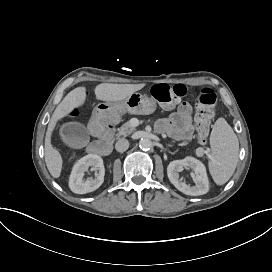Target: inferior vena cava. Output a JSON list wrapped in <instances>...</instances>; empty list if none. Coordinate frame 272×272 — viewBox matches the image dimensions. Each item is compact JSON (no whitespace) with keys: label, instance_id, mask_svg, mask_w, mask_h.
I'll use <instances>...</instances> for the list:
<instances>
[{"label":"inferior vena cava","instance_id":"1","mask_svg":"<svg viewBox=\"0 0 272 272\" xmlns=\"http://www.w3.org/2000/svg\"><path fill=\"white\" fill-rule=\"evenodd\" d=\"M129 147V142L126 139H120L117 141L115 145V149L117 152H125Z\"/></svg>","mask_w":272,"mask_h":272}]
</instances>
